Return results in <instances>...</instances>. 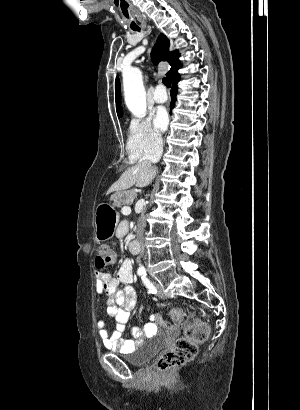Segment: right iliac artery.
Listing matches in <instances>:
<instances>
[{
	"label": "right iliac artery",
	"mask_w": 300,
	"mask_h": 410,
	"mask_svg": "<svg viewBox=\"0 0 300 410\" xmlns=\"http://www.w3.org/2000/svg\"><path fill=\"white\" fill-rule=\"evenodd\" d=\"M145 273L144 272H139V275H144Z\"/></svg>",
	"instance_id": "82829eb1"
}]
</instances>
